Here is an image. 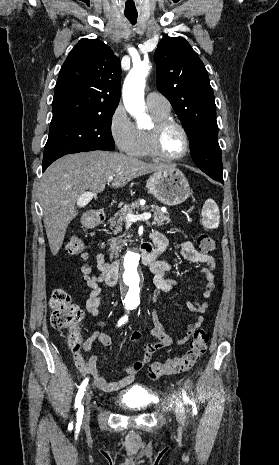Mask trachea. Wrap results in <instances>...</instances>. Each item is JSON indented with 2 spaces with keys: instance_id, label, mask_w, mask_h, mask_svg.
I'll return each mask as SVG.
<instances>
[{
  "instance_id": "trachea-1",
  "label": "trachea",
  "mask_w": 279,
  "mask_h": 465,
  "mask_svg": "<svg viewBox=\"0 0 279 465\" xmlns=\"http://www.w3.org/2000/svg\"><path fill=\"white\" fill-rule=\"evenodd\" d=\"M126 18L132 23V24H135L136 21H137V14H134V15H125Z\"/></svg>"
}]
</instances>
